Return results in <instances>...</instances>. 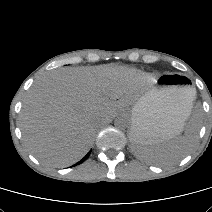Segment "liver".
<instances>
[{
  "label": "liver",
  "instance_id": "1",
  "mask_svg": "<svg viewBox=\"0 0 212 212\" xmlns=\"http://www.w3.org/2000/svg\"><path fill=\"white\" fill-rule=\"evenodd\" d=\"M152 80L148 73L114 65L47 73L23 102L19 126L26 148L49 166L75 163L92 145L98 124L133 105Z\"/></svg>",
  "mask_w": 212,
  "mask_h": 212
}]
</instances>
